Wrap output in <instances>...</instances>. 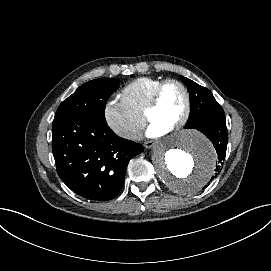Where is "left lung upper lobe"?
Wrapping results in <instances>:
<instances>
[{
	"label": "left lung upper lobe",
	"mask_w": 271,
	"mask_h": 271,
	"mask_svg": "<svg viewBox=\"0 0 271 271\" xmlns=\"http://www.w3.org/2000/svg\"><path fill=\"white\" fill-rule=\"evenodd\" d=\"M180 78L190 93V116L185 128L196 129L209 112L222 107L215 100L209 89L200 86L184 76H180Z\"/></svg>",
	"instance_id": "obj_1"
}]
</instances>
